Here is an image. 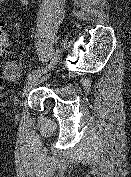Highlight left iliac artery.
<instances>
[{"mask_svg":"<svg viewBox=\"0 0 131 177\" xmlns=\"http://www.w3.org/2000/svg\"><path fill=\"white\" fill-rule=\"evenodd\" d=\"M47 65L48 66L51 65V62H47ZM46 70H47V67L35 69L27 75V79H31L33 76L37 74H41L42 72H45Z\"/></svg>","mask_w":131,"mask_h":177,"instance_id":"1","label":"left iliac artery"}]
</instances>
